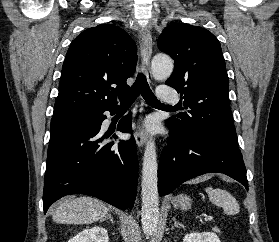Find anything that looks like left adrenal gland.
Returning <instances> with one entry per match:
<instances>
[{
	"instance_id": "1",
	"label": "left adrenal gland",
	"mask_w": 279,
	"mask_h": 242,
	"mask_svg": "<svg viewBox=\"0 0 279 242\" xmlns=\"http://www.w3.org/2000/svg\"><path fill=\"white\" fill-rule=\"evenodd\" d=\"M172 220L174 221V225L172 226V229L178 226L185 228V226L182 223L177 222L175 218H172Z\"/></svg>"
}]
</instances>
